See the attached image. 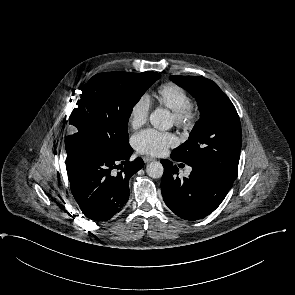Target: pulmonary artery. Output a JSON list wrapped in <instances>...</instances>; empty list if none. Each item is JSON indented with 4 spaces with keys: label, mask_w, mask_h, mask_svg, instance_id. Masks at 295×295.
Instances as JSON below:
<instances>
[{
    "label": "pulmonary artery",
    "mask_w": 295,
    "mask_h": 295,
    "mask_svg": "<svg viewBox=\"0 0 295 295\" xmlns=\"http://www.w3.org/2000/svg\"><path fill=\"white\" fill-rule=\"evenodd\" d=\"M186 173L189 174L190 173V169H187Z\"/></svg>",
    "instance_id": "pulmonary-artery-1"
}]
</instances>
